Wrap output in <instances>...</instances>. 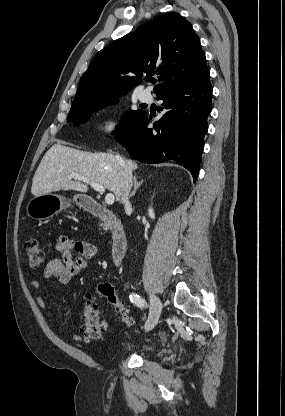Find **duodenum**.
Returning <instances> with one entry per match:
<instances>
[{"mask_svg": "<svg viewBox=\"0 0 285 416\" xmlns=\"http://www.w3.org/2000/svg\"><path fill=\"white\" fill-rule=\"evenodd\" d=\"M79 204L80 206H85L92 215L101 218L107 223L112 239V260L114 265L118 266L126 254L128 242L126 233L117 217L112 211L98 203L96 197H88L86 193H81L79 195Z\"/></svg>", "mask_w": 285, "mask_h": 416, "instance_id": "obj_1", "label": "duodenum"}]
</instances>
